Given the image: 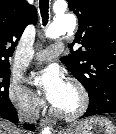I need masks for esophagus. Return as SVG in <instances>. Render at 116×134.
<instances>
[{"mask_svg":"<svg viewBox=\"0 0 116 134\" xmlns=\"http://www.w3.org/2000/svg\"><path fill=\"white\" fill-rule=\"evenodd\" d=\"M49 122V120H48V118H42L41 120H40V125L41 126H44L46 123H48Z\"/></svg>","mask_w":116,"mask_h":134,"instance_id":"1","label":"esophagus"}]
</instances>
